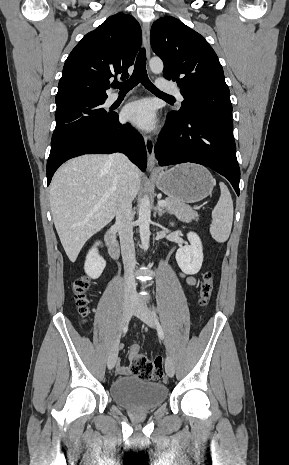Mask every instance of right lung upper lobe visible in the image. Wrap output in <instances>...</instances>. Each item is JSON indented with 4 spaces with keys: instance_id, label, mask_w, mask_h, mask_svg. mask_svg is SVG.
Instances as JSON below:
<instances>
[{
    "instance_id": "obj_1",
    "label": "right lung upper lobe",
    "mask_w": 289,
    "mask_h": 465,
    "mask_svg": "<svg viewBox=\"0 0 289 465\" xmlns=\"http://www.w3.org/2000/svg\"><path fill=\"white\" fill-rule=\"evenodd\" d=\"M141 28L129 14L117 13L86 34L65 61L56 104L106 100L109 79L127 78L141 46Z\"/></svg>"
}]
</instances>
